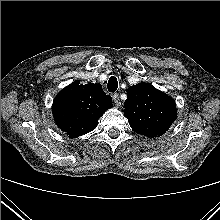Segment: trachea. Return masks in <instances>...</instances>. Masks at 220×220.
Returning <instances> with one entry per match:
<instances>
[{"label": "trachea", "mask_w": 220, "mask_h": 220, "mask_svg": "<svg viewBox=\"0 0 220 220\" xmlns=\"http://www.w3.org/2000/svg\"><path fill=\"white\" fill-rule=\"evenodd\" d=\"M107 88H108V91H110V92H115L117 90L118 81H117L116 77H114V76L110 77L108 84H107Z\"/></svg>", "instance_id": "trachea-1"}]
</instances>
